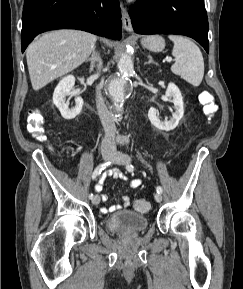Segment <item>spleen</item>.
Listing matches in <instances>:
<instances>
[{
    "mask_svg": "<svg viewBox=\"0 0 243 289\" xmlns=\"http://www.w3.org/2000/svg\"><path fill=\"white\" fill-rule=\"evenodd\" d=\"M174 47L172 55L175 63L171 71L193 86H199L204 76V60L198 46L180 35H169Z\"/></svg>",
    "mask_w": 243,
    "mask_h": 289,
    "instance_id": "obj_1",
    "label": "spleen"
}]
</instances>
